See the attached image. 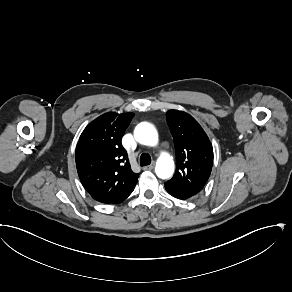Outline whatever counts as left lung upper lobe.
<instances>
[{"label": "left lung upper lobe", "instance_id": "5c2ea615", "mask_svg": "<svg viewBox=\"0 0 292 292\" xmlns=\"http://www.w3.org/2000/svg\"><path fill=\"white\" fill-rule=\"evenodd\" d=\"M166 117L176 152V172L166 183L199 193L211 174L212 144L203 128L188 113L169 110Z\"/></svg>", "mask_w": 292, "mask_h": 292}]
</instances>
